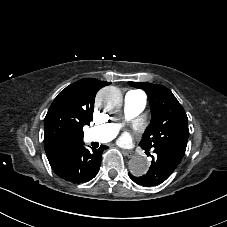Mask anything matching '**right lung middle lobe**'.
<instances>
[{"label":"right lung middle lobe","instance_id":"1","mask_svg":"<svg viewBox=\"0 0 227 227\" xmlns=\"http://www.w3.org/2000/svg\"><path fill=\"white\" fill-rule=\"evenodd\" d=\"M93 117V109H88L81 104L70 103L65 105L60 112H58L50 123V129L53 132H60L70 125H75L77 121L83 126L89 124Z\"/></svg>","mask_w":227,"mask_h":227}]
</instances>
